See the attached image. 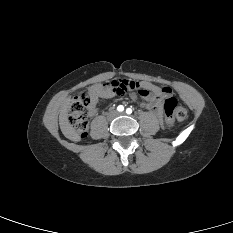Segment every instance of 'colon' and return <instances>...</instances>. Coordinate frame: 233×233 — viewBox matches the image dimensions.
Segmentation results:
<instances>
[{
	"instance_id": "colon-1",
	"label": "colon",
	"mask_w": 233,
	"mask_h": 233,
	"mask_svg": "<svg viewBox=\"0 0 233 233\" xmlns=\"http://www.w3.org/2000/svg\"><path fill=\"white\" fill-rule=\"evenodd\" d=\"M104 87L112 90L118 95L127 91L139 90V83L127 79H115L104 83ZM89 106V98L86 94L75 96L70 104L69 115L74 130L80 138H85L88 134V121L86 111ZM165 125L169 128L175 125L176 121H183L187 117V109L178 105L174 97H167L164 103Z\"/></svg>"
}]
</instances>
